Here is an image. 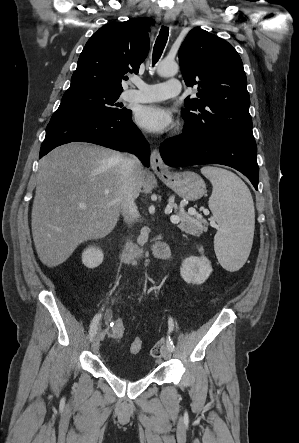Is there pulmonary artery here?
<instances>
[{
	"label": "pulmonary artery",
	"mask_w": 299,
	"mask_h": 443,
	"mask_svg": "<svg viewBox=\"0 0 299 443\" xmlns=\"http://www.w3.org/2000/svg\"><path fill=\"white\" fill-rule=\"evenodd\" d=\"M137 88L126 93L125 99L133 102H156L175 97L181 92V83L178 79H169L164 83L147 84L140 79H133Z\"/></svg>",
	"instance_id": "e3ab8cb5"
}]
</instances>
